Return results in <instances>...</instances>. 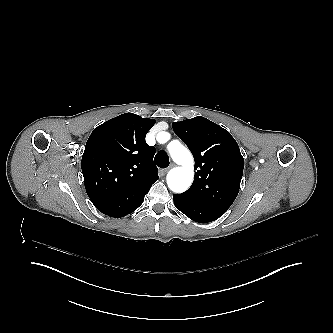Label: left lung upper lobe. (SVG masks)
I'll list each match as a JSON object with an SVG mask.
<instances>
[{
	"label": "left lung upper lobe",
	"mask_w": 333,
	"mask_h": 333,
	"mask_svg": "<svg viewBox=\"0 0 333 333\" xmlns=\"http://www.w3.org/2000/svg\"><path fill=\"white\" fill-rule=\"evenodd\" d=\"M172 126L192 152L197 170L191 187L179 195L228 210L238 195L244 168L237 142L227 130L201 116Z\"/></svg>",
	"instance_id": "5c2ea615"
}]
</instances>
